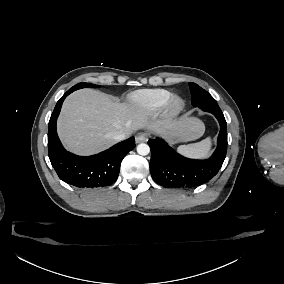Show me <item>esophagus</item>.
<instances>
[{"label":"esophagus","instance_id":"34e87169","mask_svg":"<svg viewBox=\"0 0 284 284\" xmlns=\"http://www.w3.org/2000/svg\"><path fill=\"white\" fill-rule=\"evenodd\" d=\"M147 139H148V135L144 132H141V133L136 135V142L137 143L144 142Z\"/></svg>","mask_w":284,"mask_h":284}]
</instances>
